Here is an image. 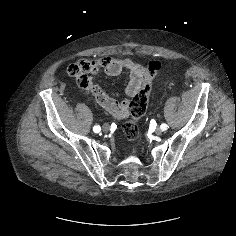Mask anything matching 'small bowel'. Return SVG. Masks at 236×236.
Masks as SVG:
<instances>
[{
    "label": "small bowel",
    "mask_w": 236,
    "mask_h": 236,
    "mask_svg": "<svg viewBox=\"0 0 236 236\" xmlns=\"http://www.w3.org/2000/svg\"><path fill=\"white\" fill-rule=\"evenodd\" d=\"M100 71L108 76H117L123 71H128L130 79L125 89L107 95L94 79V75ZM68 75L71 79L77 80L78 86L85 94L94 95L100 106L119 119L129 115L133 96L150 82V74L144 66L129 57L103 56L93 61L81 59L69 65Z\"/></svg>",
    "instance_id": "1"
}]
</instances>
